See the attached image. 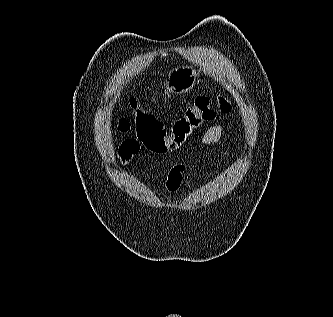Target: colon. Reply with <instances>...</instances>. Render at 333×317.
I'll return each mask as SVG.
<instances>
[{
  "instance_id": "colon-1",
  "label": "colon",
  "mask_w": 333,
  "mask_h": 317,
  "mask_svg": "<svg viewBox=\"0 0 333 317\" xmlns=\"http://www.w3.org/2000/svg\"><path fill=\"white\" fill-rule=\"evenodd\" d=\"M132 109L139 142L147 150L165 155L180 149L204 123L214 120L220 114L228 113L231 106L222 96H197L170 127H165L154 114L136 103L132 104ZM119 128L126 132L130 124L126 119H121Z\"/></svg>"
}]
</instances>
